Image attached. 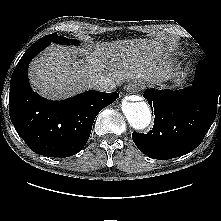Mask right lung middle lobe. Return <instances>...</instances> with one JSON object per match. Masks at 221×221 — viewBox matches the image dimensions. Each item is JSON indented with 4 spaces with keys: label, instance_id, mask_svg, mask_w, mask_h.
<instances>
[{
    "label": "right lung middle lobe",
    "instance_id": "1",
    "mask_svg": "<svg viewBox=\"0 0 221 221\" xmlns=\"http://www.w3.org/2000/svg\"><path fill=\"white\" fill-rule=\"evenodd\" d=\"M44 39H48L53 43H59V44H74L78 45V41L74 39H68L66 37L58 36L56 33L46 35Z\"/></svg>",
    "mask_w": 221,
    "mask_h": 221
}]
</instances>
